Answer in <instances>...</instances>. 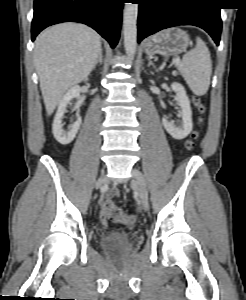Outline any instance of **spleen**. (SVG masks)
Here are the masks:
<instances>
[{
    "label": "spleen",
    "mask_w": 246,
    "mask_h": 300,
    "mask_svg": "<svg viewBox=\"0 0 246 300\" xmlns=\"http://www.w3.org/2000/svg\"><path fill=\"white\" fill-rule=\"evenodd\" d=\"M178 71L195 95L203 96L207 93L212 74V61L209 49L200 38L196 39L195 48L183 56Z\"/></svg>",
    "instance_id": "1"
}]
</instances>
